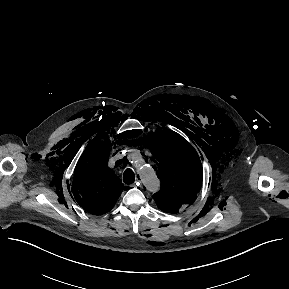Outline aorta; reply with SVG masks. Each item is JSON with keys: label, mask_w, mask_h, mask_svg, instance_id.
<instances>
[{"label": "aorta", "mask_w": 289, "mask_h": 289, "mask_svg": "<svg viewBox=\"0 0 289 289\" xmlns=\"http://www.w3.org/2000/svg\"><path fill=\"white\" fill-rule=\"evenodd\" d=\"M131 163L136 167L139 177L148 191L155 192L159 189L160 182L157 178L154 169L142 162V157L139 153H134L130 157Z\"/></svg>", "instance_id": "obj_1"}]
</instances>
